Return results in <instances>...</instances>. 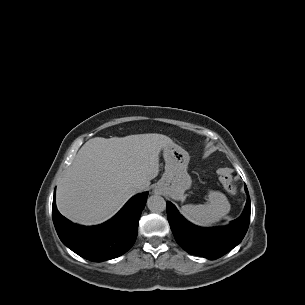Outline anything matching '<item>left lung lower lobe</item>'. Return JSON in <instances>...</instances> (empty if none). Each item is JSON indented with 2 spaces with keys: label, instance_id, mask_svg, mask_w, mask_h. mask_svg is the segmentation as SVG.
I'll use <instances>...</instances> for the list:
<instances>
[{
  "label": "left lung lower lobe",
  "instance_id": "0a47b994",
  "mask_svg": "<svg viewBox=\"0 0 305 305\" xmlns=\"http://www.w3.org/2000/svg\"><path fill=\"white\" fill-rule=\"evenodd\" d=\"M242 215L230 225L219 228H200L186 221L167 202V217L177 243L188 253L211 260L217 259L236 247L244 238L250 221V198Z\"/></svg>",
  "mask_w": 305,
  "mask_h": 305
}]
</instances>
